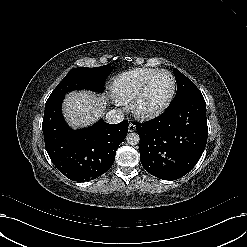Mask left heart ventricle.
Here are the masks:
<instances>
[{
  "label": "left heart ventricle",
  "instance_id": "obj_1",
  "mask_svg": "<svg viewBox=\"0 0 247 247\" xmlns=\"http://www.w3.org/2000/svg\"><path fill=\"white\" fill-rule=\"evenodd\" d=\"M172 88L171 78L167 74L157 75L147 88L142 100L143 107H152L162 103Z\"/></svg>",
  "mask_w": 247,
  "mask_h": 247
}]
</instances>
